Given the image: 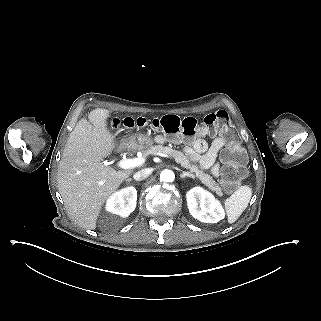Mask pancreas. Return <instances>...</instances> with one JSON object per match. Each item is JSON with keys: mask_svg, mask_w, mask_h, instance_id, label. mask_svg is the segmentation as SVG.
<instances>
[{"mask_svg": "<svg viewBox=\"0 0 321 321\" xmlns=\"http://www.w3.org/2000/svg\"><path fill=\"white\" fill-rule=\"evenodd\" d=\"M132 152H135V149L130 148ZM144 156L147 157L149 155L154 154H168L175 159V161L181 165V167L186 168L192 173H195V177H197L210 191L215 192L217 196H222V189L219 183L215 182L213 178L206 173L203 169L199 167L198 164L193 163L190 160V156L184 154L181 151L174 150L168 146L162 145H154L150 149H140Z\"/></svg>", "mask_w": 321, "mask_h": 321, "instance_id": "obj_1", "label": "pancreas"}]
</instances>
